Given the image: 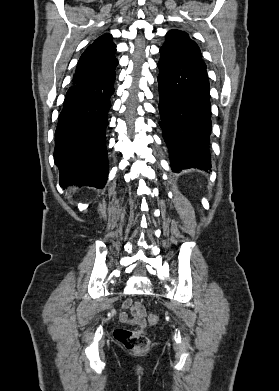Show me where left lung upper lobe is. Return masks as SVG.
<instances>
[{"mask_svg": "<svg viewBox=\"0 0 279 391\" xmlns=\"http://www.w3.org/2000/svg\"><path fill=\"white\" fill-rule=\"evenodd\" d=\"M162 48L183 56L206 69L198 45L184 31L170 30L166 34V41Z\"/></svg>", "mask_w": 279, "mask_h": 391, "instance_id": "5c2ea615", "label": "left lung upper lobe"}]
</instances>
